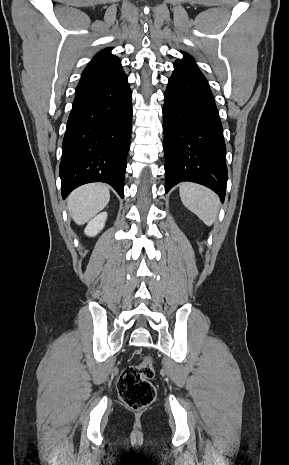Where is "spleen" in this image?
<instances>
[{
	"instance_id": "1",
	"label": "spleen",
	"mask_w": 289,
	"mask_h": 465,
	"mask_svg": "<svg viewBox=\"0 0 289 465\" xmlns=\"http://www.w3.org/2000/svg\"><path fill=\"white\" fill-rule=\"evenodd\" d=\"M180 198L186 208L196 214L207 226H211L219 211V198L210 189L191 182L181 183Z\"/></svg>"
}]
</instances>
